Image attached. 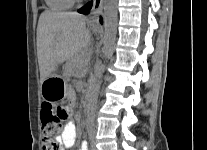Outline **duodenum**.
Segmentation results:
<instances>
[{
    "instance_id": "410a0bca",
    "label": "duodenum",
    "mask_w": 207,
    "mask_h": 150,
    "mask_svg": "<svg viewBox=\"0 0 207 150\" xmlns=\"http://www.w3.org/2000/svg\"><path fill=\"white\" fill-rule=\"evenodd\" d=\"M93 87H94V84L90 83V85L87 88V99L88 100H90L92 97Z\"/></svg>"
}]
</instances>
